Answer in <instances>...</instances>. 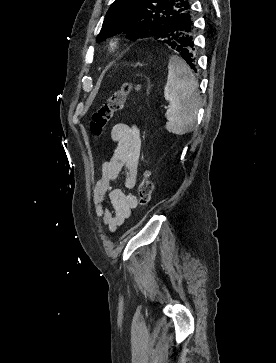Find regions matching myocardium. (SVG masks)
<instances>
[{
	"instance_id": "obj_1",
	"label": "myocardium",
	"mask_w": 276,
	"mask_h": 363,
	"mask_svg": "<svg viewBox=\"0 0 276 363\" xmlns=\"http://www.w3.org/2000/svg\"><path fill=\"white\" fill-rule=\"evenodd\" d=\"M119 44H120V42L117 39H112L109 42V50L111 52H115L119 48Z\"/></svg>"
}]
</instances>
